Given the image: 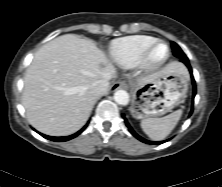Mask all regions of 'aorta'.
<instances>
[{
  "label": "aorta",
  "mask_w": 222,
  "mask_h": 187,
  "mask_svg": "<svg viewBox=\"0 0 222 187\" xmlns=\"http://www.w3.org/2000/svg\"><path fill=\"white\" fill-rule=\"evenodd\" d=\"M114 100L119 105H127L129 102V94L125 90H117L114 93Z\"/></svg>",
  "instance_id": "obj_1"
}]
</instances>
